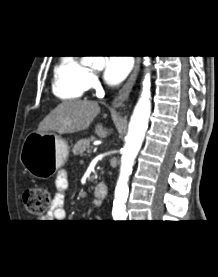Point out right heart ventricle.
Instances as JSON below:
<instances>
[{"instance_id": "right-heart-ventricle-1", "label": "right heart ventricle", "mask_w": 218, "mask_h": 277, "mask_svg": "<svg viewBox=\"0 0 218 277\" xmlns=\"http://www.w3.org/2000/svg\"><path fill=\"white\" fill-rule=\"evenodd\" d=\"M89 69L76 57H62L54 68L52 90L62 100L80 99L88 88Z\"/></svg>"}]
</instances>
